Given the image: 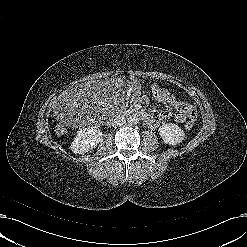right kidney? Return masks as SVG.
<instances>
[{"label": "right kidney", "mask_w": 247, "mask_h": 247, "mask_svg": "<svg viewBox=\"0 0 247 247\" xmlns=\"http://www.w3.org/2000/svg\"><path fill=\"white\" fill-rule=\"evenodd\" d=\"M102 132L97 127H88L81 129L74 138L70 148L75 154H83L94 147L101 141Z\"/></svg>", "instance_id": "obj_1"}]
</instances>
